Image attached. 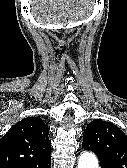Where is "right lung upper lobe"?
<instances>
[{
  "label": "right lung upper lobe",
  "instance_id": "right-lung-upper-lobe-1",
  "mask_svg": "<svg viewBox=\"0 0 127 168\" xmlns=\"http://www.w3.org/2000/svg\"><path fill=\"white\" fill-rule=\"evenodd\" d=\"M49 129L38 117L25 118L0 139V168L32 166L51 162Z\"/></svg>",
  "mask_w": 127,
  "mask_h": 168
}]
</instances>
